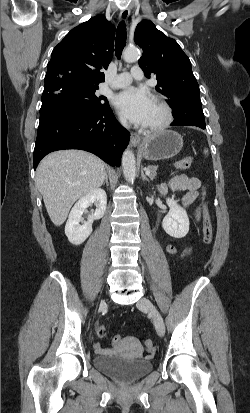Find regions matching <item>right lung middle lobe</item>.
Wrapping results in <instances>:
<instances>
[{
	"label": "right lung middle lobe",
	"mask_w": 250,
	"mask_h": 413,
	"mask_svg": "<svg viewBox=\"0 0 250 413\" xmlns=\"http://www.w3.org/2000/svg\"><path fill=\"white\" fill-rule=\"evenodd\" d=\"M98 87L65 86L42 95L40 113L56 105H70L99 110L109 107L104 96L95 94Z\"/></svg>",
	"instance_id": "obj_1"
}]
</instances>
